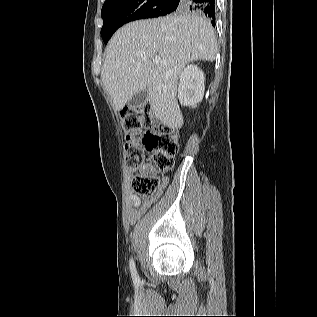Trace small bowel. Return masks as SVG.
I'll list each match as a JSON object with an SVG mask.
<instances>
[{"label":"small bowel","instance_id":"1","mask_svg":"<svg viewBox=\"0 0 317 317\" xmlns=\"http://www.w3.org/2000/svg\"><path fill=\"white\" fill-rule=\"evenodd\" d=\"M168 183L167 178H163L161 181L162 190ZM155 199H148L141 201L140 198L132 193L127 196V211L126 217L130 223H135L153 204Z\"/></svg>","mask_w":317,"mask_h":317}]
</instances>
